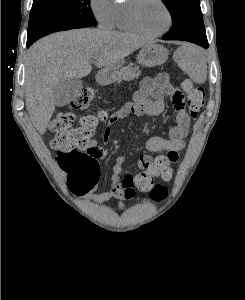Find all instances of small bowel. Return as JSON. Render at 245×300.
Masks as SVG:
<instances>
[{"label":"small bowel","instance_id":"obj_1","mask_svg":"<svg viewBox=\"0 0 245 300\" xmlns=\"http://www.w3.org/2000/svg\"><path fill=\"white\" fill-rule=\"evenodd\" d=\"M166 97L170 98L173 104L176 114L175 123L170 128L167 137L152 136L147 139L145 147L148 153L140 156L138 167L142 170L141 173L153 177L161 176L165 182H170L172 172H175V165H171V163L177 161L179 151L186 145V137L190 129V116L186 110L183 93L172 82L167 73H160L154 78L144 79L140 89L134 95V100L108 117L103 142L104 144L107 143L111 134V127L130 114L149 117L159 116L164 110ZM90 148L97 151V159L107 155V150L103 146H99L93 139L90 142ZM160 151H164L165 154L157 157L152 156V154ZM124 161V155L116 159L109 190L99 194L90 193L87 195V199L102 203L111 198L131 199L134 197L136 192L135 179L138 174L122 176ZM164 181L154 183V190H163Z\"/></svg>","mask_w":245,"mask_h":300}]
</instances>
